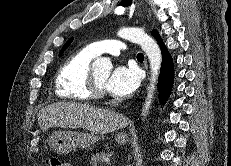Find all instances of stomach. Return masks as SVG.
I'll return each mask as SVG.
<instances>
[{"mask_svg":"<svg viewBox=\"0 0 231 166\" xmlns=\"http://www.w3.org/2000/svg\"><path fill=\"white\" fill-rule=\"evenodd\" d=\"M100 139L101 137L92 132L56 131L49 136V145L55 153L65 155L77 148L90 147ZM115 139L119 144H125L128 141V135L125 132H119Z\"/></svg>","mask_w":231,"mask_h":166,"instance_id":"obj_1","label":"stomach"}]
</instances>
